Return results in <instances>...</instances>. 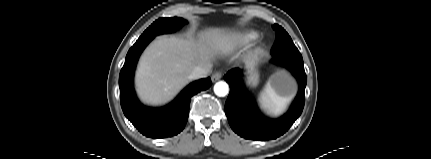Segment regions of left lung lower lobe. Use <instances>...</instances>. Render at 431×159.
<instances>
[{"mask_svg": "<svg viewBox=\"0 0 431 159\" xmlns=\"http://www.w3.org/2000/svg\"><path fill=\"white\" fill-rule=\"evenodd\" d=\"M271 61L289 69L299 83V91L291 108L276 120L268 119L259 112L240 81L242 71L239 68L230 70L224 76L230 85V94L225 103L227 119L233 131L245 139H276L288 131L302 113L307 82L302 56H273Z\"/></svg>", "mask_w": 431, "mask_h": 159, "instance_id": "obj_1", "label": "left lung lower lobe"}]
</instances>
